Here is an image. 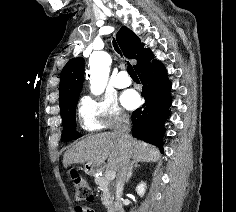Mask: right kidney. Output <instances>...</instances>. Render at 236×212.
Returning a JSON list of instances; mask_svg holds the SVG:
<instances>
[{
  "label": "right kidney",
  "mask_w": 236,
  "mask_h": 212,
  "mask_svg": "<svg viewBox=\"0 0 236 212\" xmlns=\"http://www.w3.org/2000/svg\"><path fill=\"white\" fill-rule=\"evenodd\" d=\"M145 188H146V185L144 182H141L139 185H137L136 187V192L139 196H143L144 193H145Z\"/></svg>",
  "instance_id": "obj_1"
}]
</instances>
